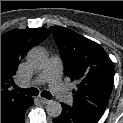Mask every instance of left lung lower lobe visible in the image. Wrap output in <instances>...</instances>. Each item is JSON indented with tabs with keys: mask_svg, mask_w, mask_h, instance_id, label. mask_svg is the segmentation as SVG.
Segmentation results:
<instances>
[{
	"mask_svg": "<svg viewBox=\"0 0 123 123\" xmlns=\"http://www.w3.org/2000/svg\"><path fill=\"white\" fill-rule=\"evenodd\" d=\"M98 120L83 116L68 105L62 104V113L53 119V123H97Z\"/></svg>",
	"mask_w": 123,
	"mask_h": 123,
	"instance_id": "left-lung-lower-lobe-1",
	"label": "left lung lower lobe"
}]
</instances>
